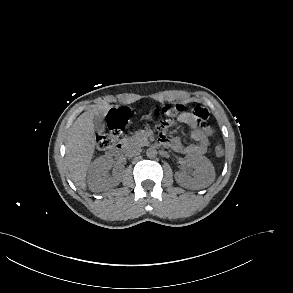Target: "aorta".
Returning <instances> with one entry per match:
<instances>
[{"instance_id": "obj_1", "label": "aorta", "mask_w": 293, "mask_h": 293, "mask_svg": "<svg viewBox=\"0 0 293 293\" xmlns=\"http://www.w3.org/2000/svg\"><path fill=\"white\" fill-rule=\"evenodd\" d=\"M148 158H155L157 156V150L154 147H150L146 151Z\"/></svg>"}]
</instances>
